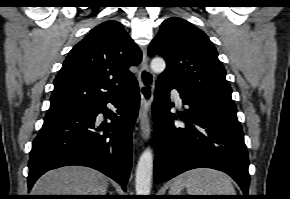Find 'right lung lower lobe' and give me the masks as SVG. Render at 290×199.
<instances>
[{"instance_id":"right-lung-lower-lobe-1","label":"right lung lower lobe","mask_w":290,"mask_h":199,"mask_svg":"<svg viewBox=\"0 0 290 199\" xmlns=\"http://www.w3.org/2000/svg\"><path fill=\"white\" fill-rule=\"evenodd\" d=\"M139 101L135 81L119 95L93 106L46 116L30 152L29 189L48 170L82 165L109 176L125 191L132 161L131 135ZM107 103L116 106V113L108 112ZM99 113L105 117L110 114L111 122L99 125L96 122Z\"/></svg>"}]
</instances>
